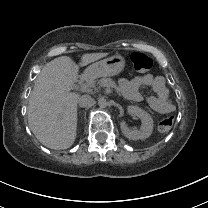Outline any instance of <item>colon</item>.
<instances>
[{
	"mask_svg": "<svg viewBox=\"0 0 208 208\" xmlns=\"http://www.w3.org/2000/svg\"><path fill=\"white\" fill-rule=\"evenodd\" d=\"M133 67L137 72H147L153 67L152 58L143 52H133L130 56ZM174 124V116L168 114L161 118L158 123V129L161 132L169 131Z\"/></svg>",
	"mask_w": 208,
	"mask_h": 208,
	"instance_id": "obj_1",
	"label": "colon"
}]
</instances>
